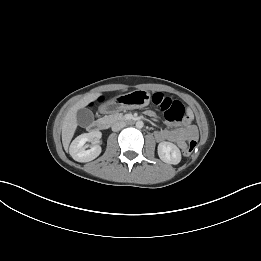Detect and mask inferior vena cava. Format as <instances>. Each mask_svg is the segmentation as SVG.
<instances>
[{
    "instance_id": "inferior-vena-cava-1",
    "label": "inferior vena cava",
    "mask_w": 261,
    "mask_h": 261,
    "mask_svg": "<svg viewBox=\"0 0 261 261\" xmlns=\"http://www.w3.org/2000/svg\"><path fill=\"white\" fill-rule=\"evenodd\" d=\"M125 126H126V123L124 121L115 122L112 125V131L117 132V131L121 130L122 128H124Z\"/></svg>"
}]
</instances>
